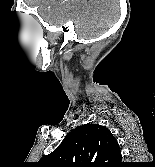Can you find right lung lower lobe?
<instances>
[{
  "label": "right lung lower lobe",
  "instance_id": "1",
  "mask_svg": "<svg viewBox=\"0 0 155 167\" xmlns=\"http://www.w3.org/2000/svg\"><path fill=\"white\" fill-rule=\"evenodd\" d=\"M127 166V164H125V163H121L120 165H118L117 167H126Z\"/></svg>",
  "mask_w": 155,
  "mask_h": 167
}]
</instances>
